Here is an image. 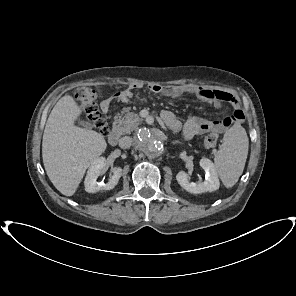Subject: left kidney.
<instances>
[{
  "instance_id": "left-kidney-1",
  "label": "left kidney",
  "mask_w": 296,
  "mask_h": 296,
  "mask_svg": "<svg viewBox=\"0 0 296 296\" xmlns=\"http://www.w3.org/2000/svg\"><path fill=\"white\" fill-rule=\"evenodd\" d=\"M200 166L204 169L206 173L204 182H189L188 174L185 171H180L176 175V179L179 185L186 191L193 194L212 192L219 189L220 182L213 162L207 158H202L200 160Z\"/></svg>"
}]
</instances>
